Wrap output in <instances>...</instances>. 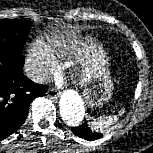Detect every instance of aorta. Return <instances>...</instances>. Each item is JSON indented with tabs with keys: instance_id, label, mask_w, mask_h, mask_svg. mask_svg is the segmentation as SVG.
Segmentation results:
<instances>
[{
	"instance_id": "obj_1",
	"label": "aorta",
	"mask_w": 153,
	"mask_h": 153,
	"mask_svg": "<svg viewBox=\"0 0 153 153\" xmlns=\"http://www.w3.org/2000/svg\"><path fill=\"white\" fill-rule=\"evenodd\" d=\"M60 114L65 123L70 126L80 124L85 115L84 102L77 92L65 91L59 102Z\"/></svg>"
}]
</instances>
